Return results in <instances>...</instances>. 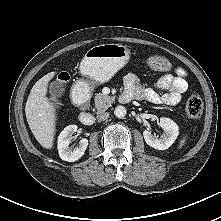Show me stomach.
Masks as SVG:
<instances>
[{
	"instance_id": "stomach-1",
	"label": "stomach",
	"mask_w": 221,
	"mask_h": 221,
	"mask_svg": "<svg viewBox=\"0 0 221 221\" xmlns=\"http://www.w3.org/2000/svg\"><path fill=\"white\" fill-rule=\"evenodd\" d=\"M129 58L130 50L122 44L94 46L82 59L80 72L91 83H105L128 63Z\"/></svg>"
}]
</instances>
